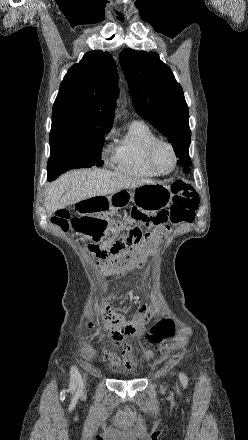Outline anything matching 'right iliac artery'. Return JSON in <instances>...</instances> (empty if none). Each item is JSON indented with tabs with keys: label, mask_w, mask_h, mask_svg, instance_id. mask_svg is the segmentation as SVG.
Segmentation results:
<instances>
[{
	"label": "right iliac artery",
	"mask_w": 248,
	"mask_h": 440,
	"mask_svg": "<svg viewBox=\"0 0 248 440\" xmlns=\"http://www.w3.org/2000/svg\"><path fill=\"white\" fill-rule=\"evenodd\" d=\"M78 382H81V375L78 369L73 366L71 369V378H70V388L69 390L73 393L77 388Z\"/></svg>",
	"instance_id": "1"
}]
</instances>
